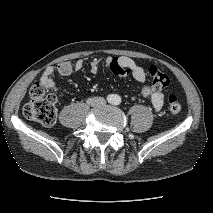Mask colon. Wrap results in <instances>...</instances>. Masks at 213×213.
<instances>
[{"mask_svg": "<svg viewBox=\"0 0 213 213\" xmlns=\"http://www.w3.org/2000/svg\"><path fill=\"white\" fill-rule=\"evenodd\" d=\"M59 73L68 76L74 72L75 66L70 61H65L57 66ZM111 70L118 76L123 77L130 74L128 65L114 61ZM152 87L156 90H162L169 85V77L157 66H150L148 70ZM181 103L177 96L170 95L168 98V109L172 113L181 111ZM23 115L31 121H36L44 126H52L57 119L56 97L41 83H35L30 90L29 101L23 108Z\"/></svg>", "mask_w": 213, "mask_h": 213, "instance_id": "5ec220e1", "label": "colon"}]
</instances>
